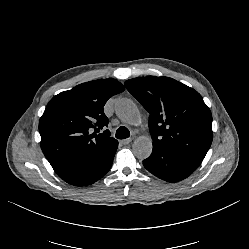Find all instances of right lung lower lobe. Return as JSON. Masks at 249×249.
<instances>
[{
    "instance_id": "98d812e1",
    "label": "right lung lower lobe",
    "mask_w": 249,
    "mask_h": 249,
    "mask_svg": "<svg viewBox=\"0 0 249 249\" xmlns=\"http://www.w3.org/2000/svg\"><path fill=\"white\" fill-rule=\"evenodd\" d=\"M117 148L118 141L109 146L88 164L62 176L61 178L67 183L75 186H87L93 184L110 170Z\"/></svg>"
}]
</instances>
